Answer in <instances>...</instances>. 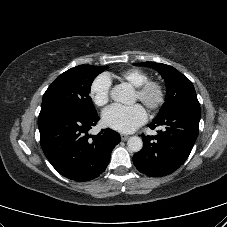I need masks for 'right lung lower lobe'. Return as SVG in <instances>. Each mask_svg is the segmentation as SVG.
Listing matches in <instances>:
<instances>
[{
    "instance_id": "right-lung-lower-lobe-1",
    "label": "right lung lower lobe",
    "mask_w": 227,
    "mask_h": 227,
    "mask_svg": "<svg viewBox=\"0 0 227 227\" xmlns=\"http://www.w3.org/2000/svg\"><path fill=\"white\" fill-rule=\"evenodd\" d=\"M99 116H86L66 108L41 111L38 118L40 144L51 165L64 177L85 182L107 167L119 133L107 128L88 135Z\"/></svg>"
}]
</instances>
